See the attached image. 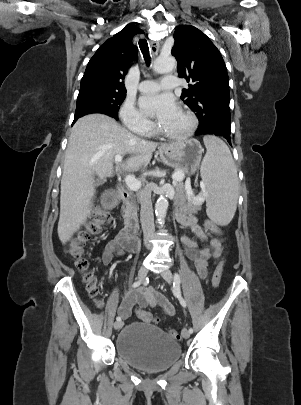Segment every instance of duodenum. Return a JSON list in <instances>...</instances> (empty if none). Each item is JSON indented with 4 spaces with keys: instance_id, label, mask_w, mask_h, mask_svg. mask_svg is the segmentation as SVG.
<instances>
[{
    "instance_id": "obj_1",
    "label": "duodenum",
    "mask_w": 301,
    "mask_h": 405,
    "mask_svg": "<svg viewBox=\"0 0 301 405\" xmlns=\"http://www.w3.org/2000/svg\"><path fill=\"white\" fill-rule=\"evenodd\" d=\"M125 204V226L120 231L122 246L130 252H136L140 248L139 239L137 237L138 222L134 216V200L130 190L121 186L117 190H106L102 199L99 201V206L106 213H113L115 208L121 207V202Z\"/></svg>"
}]
</instances>
